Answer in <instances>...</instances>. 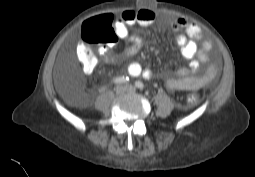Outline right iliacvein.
<instances>
[{
	"label": "right iliac vein",
	"mask_w": 255,
	"mask_h": 177,
	"mask_svg": "<svg viewBox=\"0 0 255 177\" xmlns=\"http://www.w3.org/2000/svg\"><path fill=\"white\" fill-rule=\"evenodd\" d=\"M126 92H127V87L122 86V85L118 86V87L115 89L116 95H123V94H125Z\"/></svg>",
	"instance_id": "63e3f726"
}]
</instances>
